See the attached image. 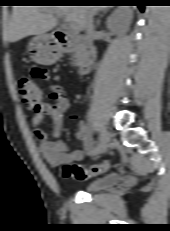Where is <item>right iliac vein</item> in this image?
<instances>
[{
    "mask_svg": "<svg viewBox=\"0 0 170 231\" xmlns=\"http://www.w3.org/2000/svg\"><path fill=\"white\" fill-rule=\"evenodd\" d=\"M110 142V134L109 132L102 128L99 140V153H105Z\"/></svg>",
    "mask_w": 170,
    "mask_h": 231,
    "instance_id": "right-iliac-vein-1",
    "label": "right iliac vein"
}]
</instances>
